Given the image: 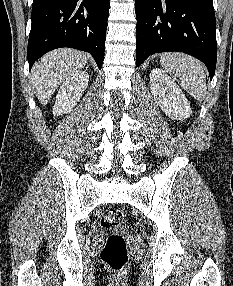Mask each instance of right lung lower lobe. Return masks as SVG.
<instances>
[{"instance_id":"1","label":"right lung lower lobe","mask_w":233,"mask_h":286,"mask_svg":"<svg viewBox=\"0 0 233 286\" xmlns=\"http://www.w3.org/2000/svg\"><path fill=\"white\" fill-rule=\"evenodd\" d=\"M109 0H33L28 62L48 51L70 47L89 52L101 69Z\"/></svg>"}]
</instances>
